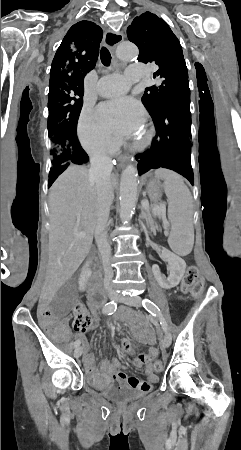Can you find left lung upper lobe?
I'll return each mask as SVG.
<instances>
[{
	"label": "left lung upper lobe",
	"mask_w": 241,
	"mask_h": 450,
	"mask_svg": "<svg viewBox=\"0 0 241 450\" xmlns=\"http://www.w3.org/2000/svg\"><path fill=\"white\" fill-rule=\"evenodd\" d=\"M128 39L139 50L138 61L154 62L159 70L154 77L161 85L146 88L142 103L152 118L180 100L190 98L188 72L179 40L170 27L155 14L145 12L136 17L127 29Z\"/></svg>",
	"instance_id": "obj_1"
}]
</instances>
